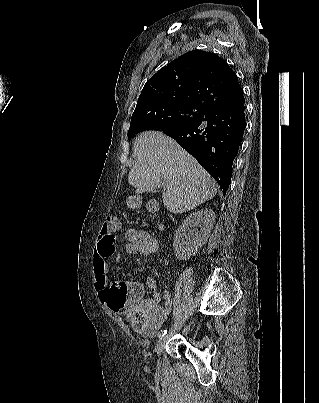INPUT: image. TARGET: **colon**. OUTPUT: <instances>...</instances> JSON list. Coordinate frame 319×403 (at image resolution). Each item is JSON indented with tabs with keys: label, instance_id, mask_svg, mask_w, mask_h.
Instances as JSON below:
<instances>
[{
	"label": "colon",
	"instance_id": "1",
	"mask_svg": "<svg viewBox=\"0 0 319 403\" xmlns=\"http://www.w3.org/2000/svg\"><path fill=\"white\" fill-rule=\"evenodd\" d=\"M144 197L142 195L131 194L127 199V204L133 210H142L144 207ZM148 210H159V201H148ZM128 243L130 254H139L140 258H161L162 242L158 240V234H151L150 229L145 226H132L131 230L125 237Z\"/></svg>",
	"mask_w": 319,
	"mask_h": 403
}]
</instances>
